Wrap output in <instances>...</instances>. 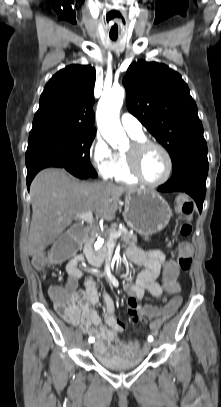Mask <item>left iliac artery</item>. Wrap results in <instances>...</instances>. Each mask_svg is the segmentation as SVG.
<instances>
[{"label":"left iliac artery","mask_w":221,"mask_h":407,"mask_svg":"<svg viewBox=\"0 0 221 407\" xmlns=\"http://www.w3.org/2000/svg\"><path fill=\"white\" fill-rule=\"evenodd\" d=\"M154 335H155V334H154ZM148 340H149V341H153V337H152V336H149Z\"/></svg>","instance_id":"left-iliac-artery-1"}]
</instances>
